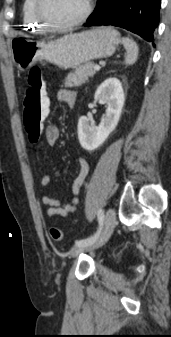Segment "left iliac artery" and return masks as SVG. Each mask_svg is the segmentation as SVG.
<instances>
[{
	"mask_svg": "<svg viewBox=\"0 0 171 337\" xmlns=\"http://www.w3.org/2000/svg\"><path fill=\"white\" fill-rule=\"evenodd\" d=\"M97 216H98V222H99V228H98L97 232L93 236H90L86 239L76 240L75 246L89 245V244H93L96 241V239L98 238V236L101 232V229H102V226H103V223H104V211L102 209H100L98 211Z\"/></svg>",
	"mask_w": 171,
	"mask_h": 337,
	"instance_id": "obj_1",
	"label": "left iliac artery"
}]
</instances>
